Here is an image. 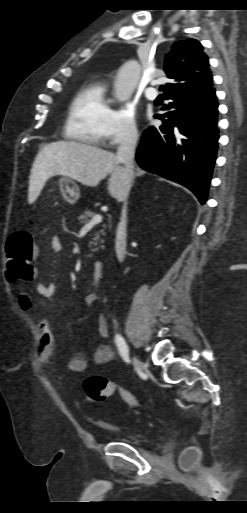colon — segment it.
<instances>
[{"label": "colon", "instance_id": "obj_1", "mask_svg": "<svg viewBox=\"0 0 247 513\" xmlns=\"http://www.w3.org/2000/svg\"><path fill=\"white\" fill-rule=\"evenodd\" d=\"M8 265L6 276L10 282L30 280L34 275V242L31 230L25 229L11 235L7 244ZM87 399L92 403H102L117 394L132 408L140 406L134 393L117 386L104 375H91L84 381ZM181 466L190 470L195 464V455L188 453L181 457Z\"/></svg>", "mask_w": 247, "mask_h": 513}]
</instances>
